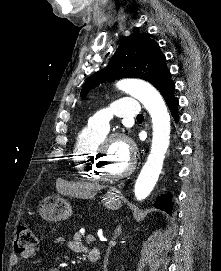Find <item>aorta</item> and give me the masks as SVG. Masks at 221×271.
<instances>
[{
    "label": "aorta",
    "instance_id": "aorta-1",
    "mask_svg": "<svg viewBox=\"0 0 221 271\" xmlns=\"http://www.w3.org/2000/svg\"><path fill=\"white\" fill-rule=\"evenodd\" d=\"M117 87L138 99L152 119L153 137L151 150L135 183L137 200L146 199L153 190L161 173L170 140V116L160 93L149 83L141 80L124 79Z\"/></svg>",
    "mask_w": 221,
    "mask_h": 271
}]
</instances>
